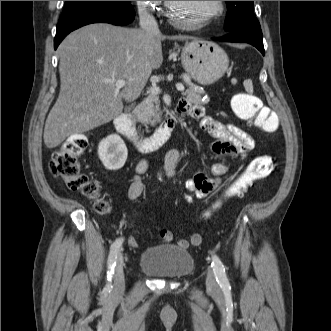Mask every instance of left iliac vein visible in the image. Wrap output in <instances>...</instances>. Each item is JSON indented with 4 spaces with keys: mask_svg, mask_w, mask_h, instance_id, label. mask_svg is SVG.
I'll use <instances>...</instances> for the list:
<instances>
[{
    "mask_svg": "<svg viewBox=\"0 0 331 331\" xmlns=\"http://www.w3.org/2000/svg\"><path fill=\"white\" fill-rule=\"evenodd\" d=\"M206 285L209 290L217 291L218 290V283L215 279V275L212 270H208Z\"/></svg>",
    "mask_w": 331,
    "mask_h": 331,
    "instance_id": "obj_1",
    "label": "left iliac vein"
}]
</instances>
